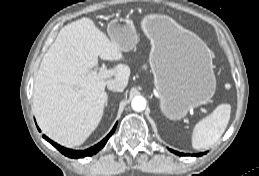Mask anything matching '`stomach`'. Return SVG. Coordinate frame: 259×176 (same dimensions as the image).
Wrapping results in <instances>:
<instances>
[{
	"label": "stomach",
	"mask_w": 259,
	"mask_h": 176,
	"mask_svg": "<svg viewBox=\"0 0 259 176\" xmlns=\"http://www.w3.org/2000/svg\"><path fill=\"white\" fill-rule=\"evenodd\" d=\"M137 22L150 41L148 61L163 115L181 120L189 109L209 103L215 94V81L193 37L164 15L151 13ZM108 34L122 49H131L137 41L134 19L113 20Z\"/></svg>",
	"instance_id": "stomach-1"
}]
</instances>
